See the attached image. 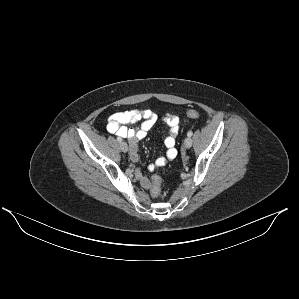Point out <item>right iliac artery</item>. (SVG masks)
<instances>
[{"mask_svg":"<svg viewBox=\"0 0 299 299\" xmlns=\"http://www.w3.org/2000/svg\"><path fill=\"white\" fill-rule=\"evenodd\" d=\"M117 141L121 142L122 138L121 137H117Z\"/></svg>","mask_w":299,"mask_h":299,"instance_id":"right-iliac-artery-1","label":"right iliac artery"}]
</instances>
